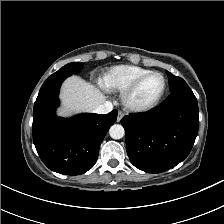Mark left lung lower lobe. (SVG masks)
Segmentation results:
<instances>
[{
    "mask_svg": "<svg viewBox=\"0 0 224 224\" xmlns=\"http://www.w3.org/2000/svg\"><path fill=\"white\" fill-rule=\"evenodd\" d=\"M197 99L188 85L171 92L154 110L125 116L127 154L148 173L173 168L190 153L199 128Z\"/></svg>",
    "mask_w": 224,
    "mask_h": 224,
    "instance_id": "obj_1",
    "label": "left lung lower lobe"
}]
</instances>
